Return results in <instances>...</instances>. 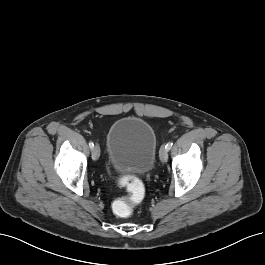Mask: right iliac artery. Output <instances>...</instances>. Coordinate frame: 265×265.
<instances>
[{"label":"right iliac artery","mask_w":265,"mask_h":265,"mask_svg":"<svg viewBox=\"0 0 265 265\" xmlns=\"http://www.w3.org/2000/svg\"><path fill=\"white\" fill-rule=\"evenodd\" d=\"M89 147H90L91 149H93V147H94V144H93V142H92V141H90V142H89Z\"/></svg>","instance_id":"right-iliac-artery-1"}]
</instances>
